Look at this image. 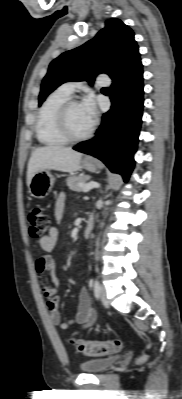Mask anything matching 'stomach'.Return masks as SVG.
Returning <instances> with one entry per match:
<instances>
[{"label": "stomach", "mask_w": 182, "mask_h": 399, "mask_svg": "<svg viewBox=\"0 0 182 399\" xmlns=\"http://www.w3.org/2000/svg\"><path fill=\"white\" fill-rule=\"evenodd\" d=\"M99 163L94 159H85L82 161V167L88 171L95 172ZM55 182L54 176L49 169L38 171L34 174L29 185L31 196L42 199L49 195Z\"/></svg>", "instance_id": "obj_1"}]
</instances>
